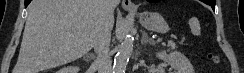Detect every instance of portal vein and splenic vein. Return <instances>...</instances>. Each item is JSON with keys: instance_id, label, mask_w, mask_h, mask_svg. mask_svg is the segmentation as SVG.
I'll return each mask as SVG.
<instances>
[{"instance_id": "obj_1", "label": "portal vein and splenic vein", "mask_w": 244, "mask_h": 73, "mask_svg": "<svg viewBox=\"0 0 244 73\" xmlns=\"http://www.w3.org/2000/svg\"><path fill=\"white\" fill-rule=\"evenodd\" d=\"M161 41H162V38H158V39H157V42H161Z\"/></svg>"}]
</instances>
